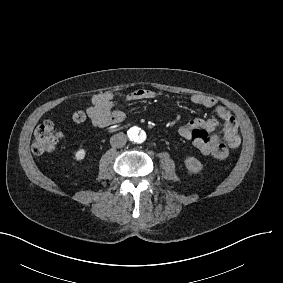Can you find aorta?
<instances>
[{"label":"aorta","instance_id":"aorta-1","mask_svg":"<svg viewBox=\"0 0 283 283\" xmlns=\"http://www.w3.org/2000/svg\"><path fill=\"white\" fill-rule=\"evenodd\" d=\"M130 141L134 143H143L146 138V132L138 126H133L127 131Z\"/></svg>","mask_w":283,"mask_h":283}]
</instances>
